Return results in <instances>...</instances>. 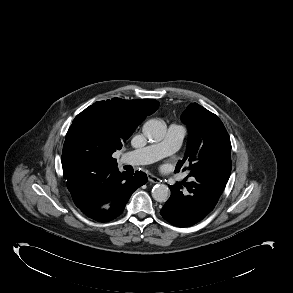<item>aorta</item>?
I'll return each instance as SVG.
<instances>
[{
  "label": "aorta",
  "mask_w": 293,
  "mask_h": 293,
  "mask_svg": "<svg viewBox=\"0 0 293 293\" xmlns=\"http://www.w3.org/2000/svg\"><path fill=\"white\" fill-rule=\"evenodd\" d=\"M145 137L150 141L160 142L166 134L164 123L157 119L148 120L142 128ZM170 196V190L165 184H157L152 189V197L157 202H166Z\"/></svg>",
  "instance_id": "1"
}]
</instances>
